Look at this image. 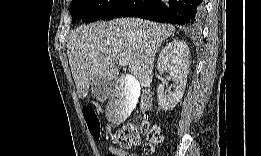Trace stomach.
<instances>
[{
    "instance_id": "1",
    "label": "stomach",
    "mask_w": 261,
    "mask_h": 156,
    "mask_svg": "<svg viewBox=\"0 0 261 156\" xmlns=\"http://www.w3.org/2000/svg\"><path fill=\"white\" fill-rule=\"evenodd\" d=\"M96 81H92V83L91 84H94Z\"/></svg>"
}]
</instances>
